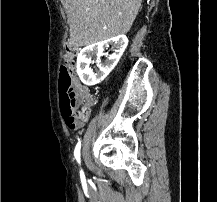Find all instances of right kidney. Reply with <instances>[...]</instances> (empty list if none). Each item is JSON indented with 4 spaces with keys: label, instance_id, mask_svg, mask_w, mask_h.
I'll return each instance as SVG.
<instances>
[{
    "label": "right kidney",
    "instance_id": "1",
    "mask_svg": "<svg viewBox=\"0 0 217 202\" xmlns=\"http://www.w3.org/2000/svg\"><path fill=\"white\" fill-rule=\"evenodd\" d=\"M104 46H112L114 54H110L104 64H101V56H105ZM128 46V38L126 36H116V38H109V40H103V42H97V44H92V46H86L78 54L77 58V74L86 86H93V84H99L102 82L111 70H114L117 66L124 50ZM96 56V64L98 72H93L90 70V64H93L92 58Z\"/></svg>",
    "mask_w": 217,
    "mask_h": 202
}]
</instances>
